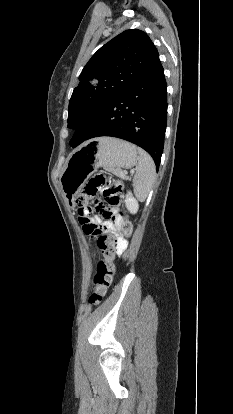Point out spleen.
Masks as SVG:
<instances>
[{
	"instance_id": "1",
	"label": "spleen",
	"mask_w": 233,
	"mask_h": 414,
	"mask_svg": "<svg viewBox=\"0 0 233 414\" xmlns=\"http://www.w3.org/2000/svg\"><path fill=\"white\" fill-rule=\"evenodd\" d=\"M138 164L133 179L134 193L136 197L144 201L150 193L156 179V168L151 156L141 148H138Z\"/></svg>"
}]
</instances>
